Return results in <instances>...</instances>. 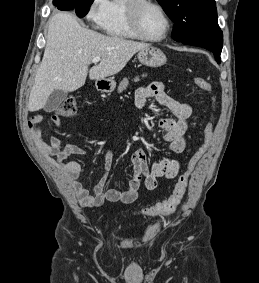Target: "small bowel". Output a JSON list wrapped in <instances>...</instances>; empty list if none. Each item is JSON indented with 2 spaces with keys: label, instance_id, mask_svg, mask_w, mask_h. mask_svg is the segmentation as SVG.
Segmentation results:
<instances>
[{
  "label": "small bowel",
  "instance_id": "1",
  "mask_svg": "<svg viewBox=\"0 0 259 283\" xmlns=\"http://www.w3.org/2000/svg\"><path fill=\"white\" fill-rule=\"evenodd\" d=\"M151 98L167 107L173 114V118H160L158 120V127L164 132L163 140L167 143L171 157L154 162L149 168L145 151L141 148L135 149L131 157L134 173L127 187L123 190H105L113 166L110 149L105 153L106 173L92 189H89L80 181V163L76 161L66 162L68 157L73 155L85 156L87 151L77 145H68L63 148L60 139L57 137H52L48 143L45 142L39 134V124L45 119V115L35 114L29 119L27 126L33 139L53 166L62 173L83 206L98 207L106 201L132 203L136 200L142 184L145 185L146 189L153 190L156 188L159 178L173 179L178 175L180 170L178 157L186 146L185 133L192 108L187 103L168 95L162 84L156 82L137 90L135 98L137 109H142ZM50 120L54 125L60 124L56 115H51Z\"/></svg>",
  "mask_w": 259,
  "mask_h": 283
}]
</instances>
